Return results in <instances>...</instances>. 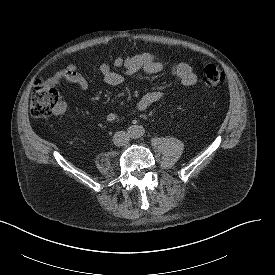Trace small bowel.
I'll use <instances>...</instances> for the list:
<instances>
[{
    "instance_id": "small-bowel-1",
    "label": "small bowel",
    "mask_w": 275,
    "mask_h": 275,
    "mask_svg": "<svg viewBox=\"0 0 275 275\" xmlns=\"http://www.w3.org/2000/svg\"><path fill=\"white\" fill-rule=\"evenodd\" d=\"M163 68V64L158 61L153 53L145 52L130 57H119L114 61L113 66L108 63H103L100 65L99 71L107 85L118 86L123 83L125 75L131 76L139 72L155 75L161 73ZM170 73L178 78L184 86L191 87L197 83V75L194 69L187 63L173 65L170 68ZM48 82L53 86L59 85L63 82L73 83L82 91H86L89 88L87 79L81 75L78 72L77 67L72 64L58 71L48 80ZM162 98L163 92L160 90L147 92L137 102L135 111H146ZM64 111L65 105L61 102L55 109L54 113L60 115ZM118 120L119 116L117 114L110 113L107 115V121L110 123L117 122Z\"/></svg>"
}]
</instances>
